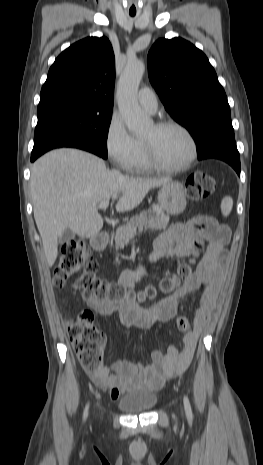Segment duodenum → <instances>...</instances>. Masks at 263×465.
<instances>
[{
	"label": "duodenum",
	"instance_id": "duodenum-1",
	"mask_svg": "<svg viewBox=\"0 0 263 465\" xmlns=\"http://www.w3.org/2000/svg\"><path fill=\"white\" fill-rule=\"evenodd\" d=\"M108 240L109 238L106 234H99L93 238L92 246L96 250H102L107 246Z\"/></svg>",
	"mask_w": 263,
	"mask_h": 465
}]
</instances>
